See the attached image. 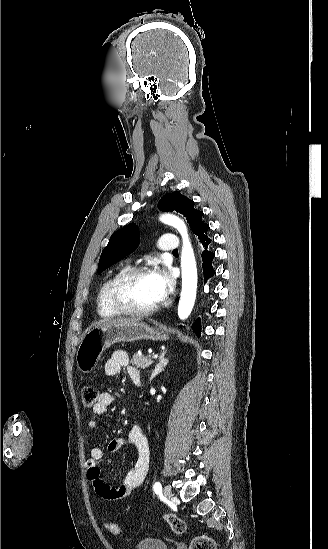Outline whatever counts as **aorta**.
<instances>
[{
	"label": "aorta",
	"mask_w": 328,
	"mask_h": 549,
	"mask_svg": "<svg viewBox=\"0 0 328 549\" xmlns=\"http://www.w3.org/2000/svg\"><path fill=\"white\" fill-rule=\"evenodd\" d=\"M160 220L175 227L182 236V291L178 305V316L181 320H185L191 314L196 299L198 276L195 256L184 222L179 217L171 214L161 216Z\"/></svg>",
	"instance_id": "aorta-1"
}]
</instances>
